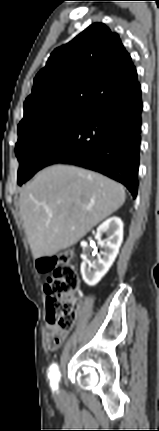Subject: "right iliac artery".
Masks as SVG:
<instances>
[{
  "instance_id": "obj_1",
  "label": "right iliac artery",
  "mask_w": 159,
  "mask_h": 431,
  "mask_svg": "<svg viewBox=\"0 0 159 431\" xmlns=\"http://www.w3.org/2000/svg\"><path fill=\"white\" fill-rule=\"evenodd\" d=\"M48 376L50 378V385L53 390H57L58 382L60 379V372L58 370L57 364H52L49 368Z\"/></svg>"
}]
</instances>
